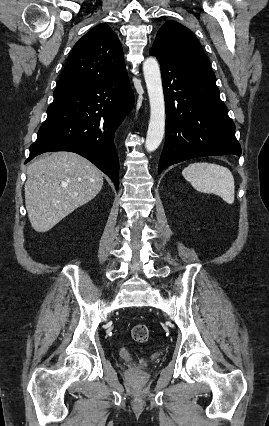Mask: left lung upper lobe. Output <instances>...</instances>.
Instances as JSON below:
<instances>
[{
	"label": "left lung upper lobe",
	"mask_w": 269,
	"mask_h": 426,
	"mask_svg": "<svg viewBox=\"0 0 269 426\" xmlns=\"http://www.w3.org/2000/svg\"><path fill=\"white\" fill-rule=\"evenodd\" d=\"M151 49L211 70L209 61L195 35L176 21H167L159 29Z\"/></svg>",
	"instance_id": "1"
}]
</instances>
